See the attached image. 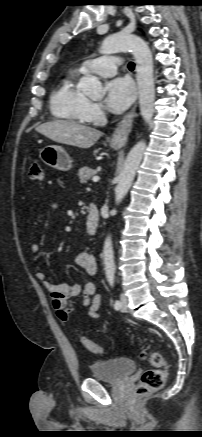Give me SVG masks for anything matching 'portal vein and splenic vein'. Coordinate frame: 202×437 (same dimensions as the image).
<instances>
[{
  "label": "portal vein and splenic vein",
  "instance_id": "obj_1",
  "mask_svg": "<svg viewBox=\"0 0 202 437\" xmlns=\"http://www.w3.org/2000/svg\"><path fill=\"white\" fill-rule=\"evenodd\" d=\"M99 179H100L99 176H94V177L92 178V181H93V182H98Z\"/></svg>",
  "mask_w": 202,
  "mask_h": 437
}]
</instances>
